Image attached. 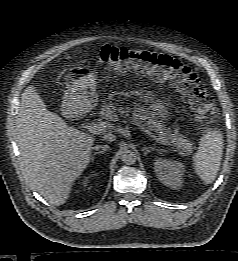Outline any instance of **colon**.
<instances>
[{
  "label": "colon",
  "instance_id": "1",
  "mask_svg": "<svg viewBox=\"0 0 238 261\" xmlns=\"http://www.w3.org/2000/svg\"><path fill=\"white\" fill-rule=\"evenodd\" d=\"M98 62L118 71L149 74L155 79H168L192 107L197 122L206 127L216 118L217 109L199 76L180 60L146 49L102 46L95 54Z\"/></svg>",
  "mask_w": 238,
  "mask_h": 261
}]
</instances>
